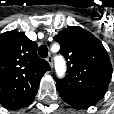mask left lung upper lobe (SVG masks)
Instances as JSON below:
<instances>
[{"label":"left lung upper lobe","instance_id":"left-lung-upper-lobe-1","mask_svg":"<svg viewBox=\"0 0 114 114\" xmlns=\"http://www.w3.org/2000/svg\"><path fill=\"white\" fill-rule=\"evenodd\" d=\"M55 40L68 65L64 79L55 77L56 87L100 100L107 92L113 72L102 43L81 27H68Z\"/></svg>","mask_w":114,"mask_h":114}]
</instances>
